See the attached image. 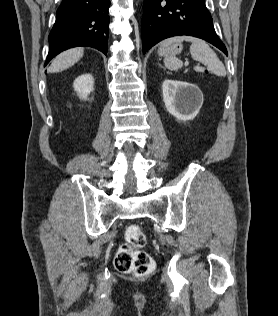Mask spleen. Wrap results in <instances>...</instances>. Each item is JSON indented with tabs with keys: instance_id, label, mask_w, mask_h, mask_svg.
Here are the masks:
<instances>
[{
	"instance_id": "obj_1",
	"label": "spleen",
	"mask_w": 278,
	"mask_h": 316,
	"mask_svg": "<svg viewBox=\"0 0 278 316\" xmlns=\"http://www.w3.org/2000/svg\"><path fill=\"white\" fill-rule=\"evenodd\" d=\"M188 41L191 42L192 45L190 47V54L192 58L196 61L202 62L207 65V70L218 75V76H226V70L224 64L217 57L216 53L209 47L205 41L191 37V36H176L171 37L164 40L161 43V47H168L174 42H182ZM165 66L169 70H178L182 67L183 63L176 57L170 56L164 59ZM197 72H204L205 68L197 66L194 68Z\"/></svg>"
}]
</instances>
